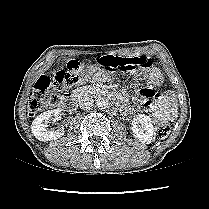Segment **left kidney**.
Here are the masks:
<instances>
[{
  "label": "left kidney",
  "instance_id": "left-kidney-1",
  "mask_svg": "<svg viewBox=\"0 0 209 209\" xmlns=\"http://www.w3.org/2000/svg\"><path fill=\"white\" fill-rule=\"evenodd\" d=\"M133 136L142 143H151L155 135L152 119L144 114L136 115L131 123Z\"/></svg>",
  "mask_w": 209,
  "mask_h": 209
}]
</instances>
